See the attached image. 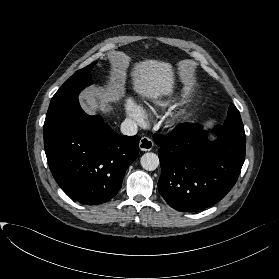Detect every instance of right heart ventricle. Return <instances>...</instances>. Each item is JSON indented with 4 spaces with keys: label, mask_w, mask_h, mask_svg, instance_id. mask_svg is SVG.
<instances>
[{
    "label": "right heart ventricle",
    "mask_w": 279,
    "mask_h": 279,
    "mask_svg": "<svg viewBox=\"0 0 279 279\" xmlns=\"http://www.w3.org/2000/svg\"><path fill=\"white\" fill-rule=\"evenodd\" d=\"M188 88L185 85H179L171 88L168 93H165L154 99V104L161 108H166L178 95L185 93Z\"/></svg>",
    "instance_id": "obj_1"
}]
</instances>
